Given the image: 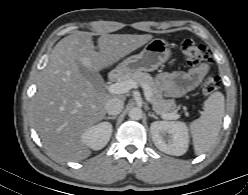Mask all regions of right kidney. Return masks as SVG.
<instances>
[{"label":"right kidney","mask_w":248,"mask_h":195,"mask_svg":"<svg viewBox=\"0 0 248 195\" xmlns=\"http://www.w3.org/2000/svg\"><path fill=\"white\" fill-rule=\"evenodd\" d=\"M112 135V124L101 122L86 129L82 135V142L93 150H100L107 145Z\"/></svg>","instance_id":"ca27d5eb"}]
</instances>
